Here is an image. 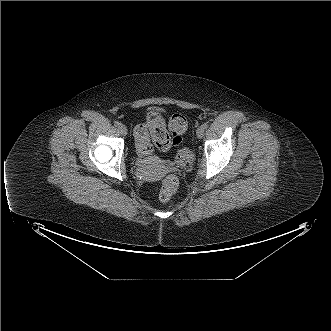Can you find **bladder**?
<instances>
[{
    "instance_id": "obj_1",
    "label": "bladder",
    "mask_w": 331,
    "mask_h": 331,
    "mask_svg": "<svg viewBox=\"0 0 331 331\" xmlns=\"http://www.w3.org/2000/svg\"><path fill=\"white\" fill-rule=\"evenodd\" d=\"M155 160H156L155 158H153V161L146 160L145 163L150 164L151 162H154Z\"/></svg>"
}]
</instances>
